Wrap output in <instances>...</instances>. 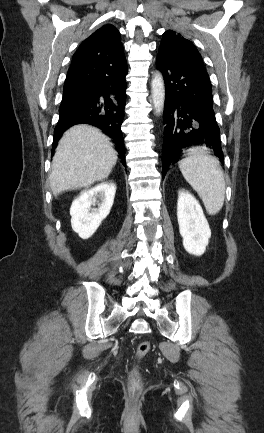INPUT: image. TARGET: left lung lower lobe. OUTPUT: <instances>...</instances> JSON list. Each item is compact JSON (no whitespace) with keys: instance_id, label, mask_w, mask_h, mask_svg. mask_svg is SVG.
<instances>
[{"instance_id":"1","label":"left lung lower lobe","mask_w":264,"mask_h":433,"mask_svg":"<svg viewBox=\"0 0 264 433\" xmlns=\"http://www.w3.org/2000/svg\"><path fill=\"white\" fill-rule=\"evenodd\" d=\"M156 67L163 74L166 88L162 177L178 161L182 149L194 145L213 149L223 162L208 73L179 65L161 55L157 56Z\"/></svg>"}]
</instances>
